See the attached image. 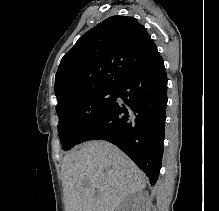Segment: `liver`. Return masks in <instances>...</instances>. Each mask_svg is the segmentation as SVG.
<instances>
[{
  "instance_id": "obj_1",
  "label": "liver",
  "mask_w": 219,
  "mask_h": 211,
  "mask_svg": "<svg viewBox=\"0 0 219 211\" xmlns=\"http://www.w3.org/2000/svg\"><path fill=\"white\" fill-rule=\"evenodd\" d=\"M62 183L66 211H117L147 177L119 147L94 139L64 155Z\"/></svg>"
}]
</instances>
